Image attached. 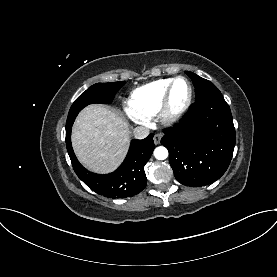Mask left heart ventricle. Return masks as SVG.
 <instances>
[{
  "label": "left heart ventricle",
  "instance_id": "left-heart-ventricle-1",
  "mask_svg": "<svg viewBox=\"0 0 277 277\" xmlns=\"http://www.w3.org/2000/svg\"><path fill=\"white\" fill-rule=\"evenodd\" d=\"M188 96V85L186 82L180 80L176 83L172 98H171V107L173 110L180 108L183 103L186 101Z\"/></svg>",
  "mask_w": 277,
  "mask_h": 277
}]
</instances>
